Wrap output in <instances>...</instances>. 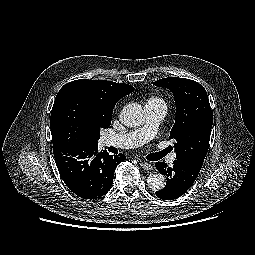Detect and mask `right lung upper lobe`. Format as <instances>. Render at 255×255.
<instances>
[{
	"instance_id": "1",
	"label": "right lung upper lobe",
	"mask_w": 255,
	"mask_h": 255,
	"mask_svg": "<svg viewBox=\"0 0 255 255\" xmlns=\"http://www.w3.org/2000/svg\"><path fill=\"white\" fill-rule=\"evenodd\" d=\"M133 90L134 88L128 84H119L106 80L79 79L65 84L59 90L52 109L66 96L80 94L89 101L101 124L110 125L111 114L115 104ZM57 145L53 142V146Z\"/></svg>"
}]
</instances>
